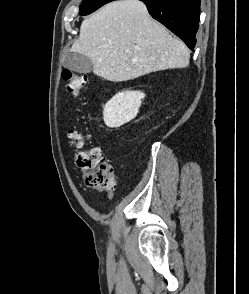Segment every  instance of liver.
Instances as JSON below:
<instances>
[{
  "label": "liver",
  "mask_w": 249,
  "mask_h": 294,
  "mask_svg": "<svg viewBox=\"0 0 249 294\" xmlns=\"http://www.w3.org/2000/svg\"><path fill=\"white\" fill-rule=\"evenodd\" d=\"M71 52L87 56L93 73L112 82L185 68L190 58L185 44L154 21L139 0L108 3L85 19Z\"/></svg>",
  "instance_id": "obj_1"
}]
</instances>
